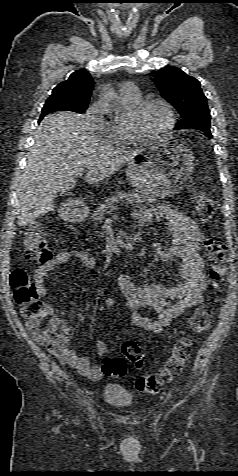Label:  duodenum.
<instances>
[{"mask_svg":"<svg viewBox=\"0 0 238 476\" xmlns=\"http://www.w3.org/2000/svg\"><path fill=\"white\" fill-rule=\"evenodd\" d=\"M84 217H85V214H82V213H73L68 215V219L74 222L81 221L84 219Z\"/></svg>","mask_w":238,"mask_h":476,"instance_id":"obj_1","label":"duodenum"}]
</instances>
